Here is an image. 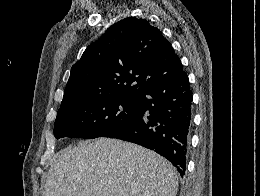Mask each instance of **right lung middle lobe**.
Segmentation results:
<instances>
[{"mask_svg": "<svg viewBox=\"0 0 260 196\" xmlns=\"http://www.w3.org/2000/svg\"><path fill=\"white\" fill-rule=\"evenodd\" d=\"M142 117L138 98L124 94H101L58 110L56 139L104 137Z\"/></svg>", "mask_w": 260, "mask_h": 196, "instance_id": "obj_1", "label": "right lung middle lobe"}]
</instances>
